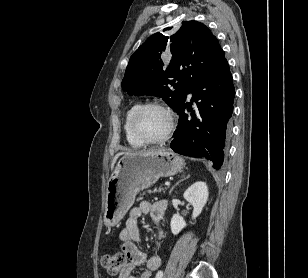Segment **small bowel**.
<instances>
[{
  "mask_svg": "<svg viewBox=\"0 0 308 278\" xmlns=\"http://www.w3.org/2000/svg\"><path fill=\"white\" fill-rule=\"evenodd\" d=\"M167 209V202L159 200L156 202L143 201L139 206L130 209L125 227L119 234L121 250L129 260L119 274L118 278H149L151 273L158 270L161 265V258L156 248L150 255L142 252L137 243L141 241V232L138 227V220L142 215H149L157 229L156 238L161 240L164 237V230L161 221ZM144 266L145 270L140 277L134 276L136 268Z\"/></svg>",
  "mask_w": 308,
  "mask_h": 278,
  "instance_id": "small-bowel-1",
  "label": "small bowel"
}]
</instances>
